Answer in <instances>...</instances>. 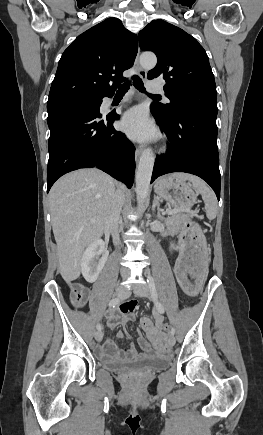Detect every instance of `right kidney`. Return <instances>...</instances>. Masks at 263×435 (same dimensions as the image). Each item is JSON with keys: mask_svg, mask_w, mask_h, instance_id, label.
Returning a JSON list of instances; mask_svg holds the SVG:
<instances>
[{"mask_svg": "<svg viewBox=\"0 0 263 435\" xmlns=\"http://www.w3.org/2000/svg\"><path fill=\"white\" fill-rule=\"evenodd\" d=\"M109 252L102 240L93 241L84 251L81 259V272L85 280L93 283L107 262Z\"/></svg>", "mask_w": 263, "mask_h": 435, "instance_id": "ca27d5eb", "label": "right kidney"}]
</instances>
